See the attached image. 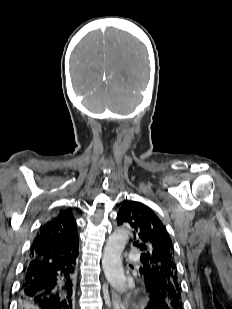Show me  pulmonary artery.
I'll list each match as a JSON object with an SVG mask.
<instances>
[{"label": "pulmonary artery", "mask_w": 232, "mask_h": 309, "mask_svg": "<svg viewBox=\"0 0 232 309\" xmlns=\"http://www.w3.org/2000/svg\"><path fill=\"white\" fill-rule=\"evenodd\" d=\"M129 257H130L131 259H133V260H137L138 257H139V254H138L137 251H131V252L129 253Z\"/></svg>", "instance_id": "obj_1"}]
</instances>
